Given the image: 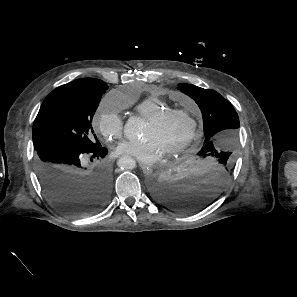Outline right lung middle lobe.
<instances>
[{"instance_id":"right-lung-middle-lobe-1","label":"right lung middle lobe","mask_w":297,"mask_h":297,"mask_svg":"<svg viewBox=\"0 0 297 297\" xmlns=\"http://www.w3.org/2000/svg\"><path fill=\"white\" fill-rule=\"evenodd\" d=\"M108 86L68 83L57 87L44 100L34 121L33 145L65 142L83 150L95 149L101 144L91 125L102 94Z\"/></svg>"}]
</instances>
